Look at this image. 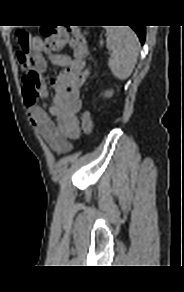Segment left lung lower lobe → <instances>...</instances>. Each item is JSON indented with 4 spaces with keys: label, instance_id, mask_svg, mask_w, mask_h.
<instances>
[{
    "label": "left lung lower lobe",
    "instance_id": "left-lung-lower-lobe-1",
    "mask_svg": "<svg viewBox=\"0 0 184 292\" xmlns=\"http://www.w3.org/2000/svg\"><path fill=\"white\" fill-rule=\"evenodd\" d=\"M131 27L138 35V37L141 41V44H143L144 40H145V26H131Z\"/></svg>",
    "mask_w": 184,
    "mask_h": 292
}]
</instances>
